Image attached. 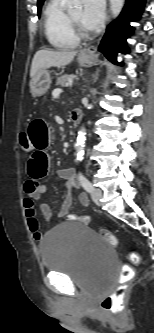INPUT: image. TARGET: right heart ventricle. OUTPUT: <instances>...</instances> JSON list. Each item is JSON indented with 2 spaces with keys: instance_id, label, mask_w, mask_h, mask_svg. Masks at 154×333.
I'll list each match as a JSON object with an SVG mask.
<instances>
[{
  "instance_id": "e07e8e85",
  "label": "right heart ventricle",
  "mask_w": 154,
  "mask_h": 333,
  "mask_svg": "<svg viewBox=\"0 0 154 333\" xmlns=\"http://www.w3.org/2000/svg\"><path fill=\"white\" fill-rule=\"evenodd\" d=\"M63 1H48L43 13L44 32L48 42L54 48L72 49L78 46L79 39L69 25Z\"/></svg>"
}]
</instances>
